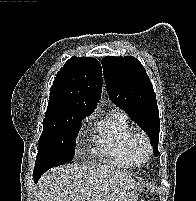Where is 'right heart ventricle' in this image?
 Segmentation results:
<instances>
[{
  "label": "right heart ventricle",
  "mask_w": 196,
  "mask_h": 201,
  "mask_svg": "<svg viewBox=\"0 0 196 201\" xmlns=\"http://www.w3.org/2000/svg\"><path fill=\"white\" fill-rule=\"evenodd\" d=\"M133 131L134 127L124 112L111 111L93 128L94 154L120 168L132 166L128 148Z\"/></svg>",
  "instance_id": "obj_1"
}]
</instances>
